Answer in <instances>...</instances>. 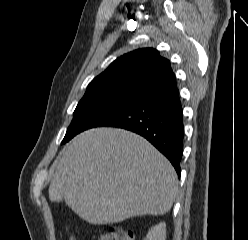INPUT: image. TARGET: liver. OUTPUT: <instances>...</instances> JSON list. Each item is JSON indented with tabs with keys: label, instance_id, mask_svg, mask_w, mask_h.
<instances>
[{
	"label": "liver",
	"instance_id": "liver-1",
	"mask_svg": "<svg viewBox=\"0 0 248 240\" xmlns=\"http://www.w3.org/2000/svg\"><path fill=\"white\" fill-rule=\"evenodd\" d=\"M177 174L143 137L115 128L77 135L55 160L49 199L65 200L91 224L163 215L175 201Z\"/></svg>",
	"mask_w": 248,
	"mask_h": 240
}]
</instances>
